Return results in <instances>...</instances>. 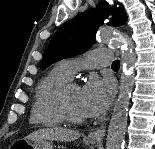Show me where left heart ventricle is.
<instances>
[{
	"mask_svg": "<svg viewBox=\"0 0 155 149\" xmlns=\"http://www.w3.org/2000/svg\"><path fill=\"white\" fill-rule=\"evenodd\" d=\"M68 104L74 114L81 117H86L81 105V89L78 86H73L67 93Z\"/></svg>",
	"mask_w": 155,
	"mask_h": 149,
	"instance_id": "left-heart-ventricle-1",
	"label": "left heart ventricle"
}]
</instances>
